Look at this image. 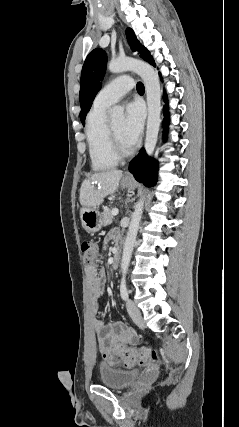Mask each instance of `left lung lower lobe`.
<instances>
[{
  "instance_id": "0a47b994",
  "label": "left lung lower lobe",
  "mask_w": 239,
  "mask_h": 427,
  "mask_svg": "<svg viewBox=\"0 0 239 427\" xmlns=\"http://www.w3.org/2000/svg\"><path fill=\"white\" fill-rule=\"evenodd\" d=\"M164 110V126L167 127L169 123L167 106H165ZM157 169V162L151 158H148L144 149H142L140 153L130 162V172H132L135 179L148 187L155 184L157 179Z\"/></svg>"
}]
</instances>
